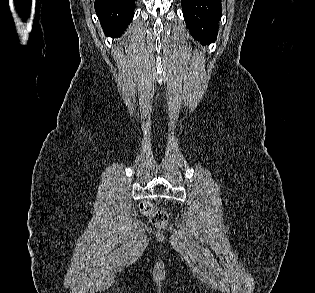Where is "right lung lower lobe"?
<instances>
[{"label": "right lung lower lobe", "instance_id": "1", "mask_svg": "<svg viewBox=\"0 0 315 293\" xmlns=\"http://www.w3.org/2000/svg\"><path fill=\"white\" fill-rule=\"evenodd\" d=\"M135 0H95V11L107 36L123 33L132 21Z\"/></svg>", "mask_w": 315, "mask_h": 293}]
</instances>
